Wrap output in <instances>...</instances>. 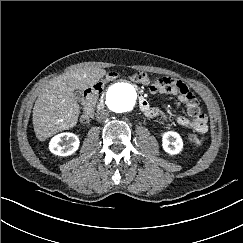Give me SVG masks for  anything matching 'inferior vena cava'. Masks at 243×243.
I'll list each match as a JSON object with an SVG mask.
<instances>
[{
	"mask_svg": "<svg viewBox=\"0 0 243 243\" xmlns=\"http://www.w3.org/2000/svg\"><path fill=\"white\" fill-rule=\"evenodd\" d=\"M98 121L106 120L109 117V112L105 109L99 110L95 114Z\"/></svg>",
	"mask_w": 243,
	"mask_h": 243,
	"instance_id": "602c4592",
	"label": "inferior vena cava"
}]
</instances>
